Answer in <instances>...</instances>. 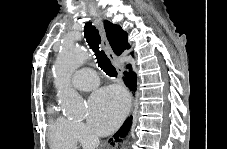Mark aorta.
Segmentation results:
<instances>
[{
	"mask_svg": "<svg viewBox=\"0 0 227 149\" xmlns=\"http://www.w3.org/2000/svg\"><path fill=\"white\" fill-rule=\"evenodd\" d=\"M86 58L87 53L79 45L64 43L53 65L57 101L71 116L78 117L84 113L83 99L70 86V79Z\"/></svg>",
	"mask_w": 227,
	"mask_h": 149,
	"instance_id": "obj_1",
	"label": "aorta"
}]
</instances>
